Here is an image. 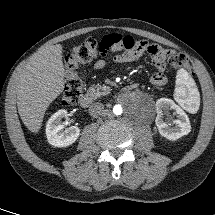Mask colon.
Listing matches in <instances>:
<instances>
[{
  "mask_svg": "<svg viewBox=\"0 0 215 215\" xmlns=\"http://www.w3.org/2000/svg\"><path fill=\"white\" fill-rule=\"evenodd\" d=\"M101 51L100 42L96 37H89L76 45L65 58V89L62 102L65 105L76 104L83 94V80L80 69L83 64L92 60ZM168 61L175 67L187 68L188 61L185 55L171 50L166 51Z\"/></svg>",
  "mask_w": 215,
  "mask_h": 215,
  "instance_id": "obj_1",
  "label": "colon"
}]
</instances>
